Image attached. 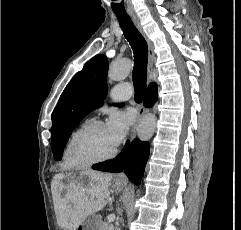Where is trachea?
I'll use <instances>...</instances> for the list:
<instances>
[{
    "label": "trachea",
    "mask_w": 241,
    "mask_h": 230,
    "mask_svg": "<svg viewBox=\"0 0 241 230\" xmlns=\"http://www.w3.org/2000/svg\"><path fill=\"white\" fill-rule=\"evenodd\" d=\"M115 15L134 53L133 83L135 101L139 103L143 100L146 89L148 46L127 14L115 13Z\"/></svg>",
    "instance_id": "trachea-1"
}]
</instances>
